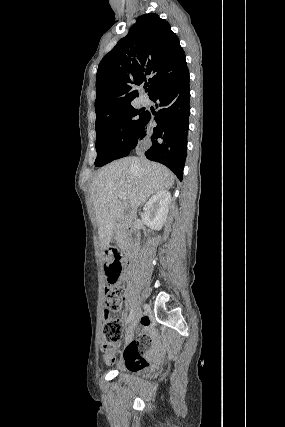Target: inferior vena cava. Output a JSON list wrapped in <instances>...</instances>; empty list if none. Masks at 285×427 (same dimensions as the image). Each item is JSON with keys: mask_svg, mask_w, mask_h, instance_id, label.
Instances as JSON below:
<instances>
[{"mask_svg": "<svg viewBox=\"0 0 285 427\" xmlns=\"http://www.w3.org/2000/svg\"><path fill=\"white\" fill-rule=\"evenodd\" d=\"M135 218H136V211L132 210L131 213H130V220H133Z\"/></svg>", "mask_w": 285, "mask_h": 427, "instance_id": "inferior-vena-cava-1", "label": "inferior vena cava"}]
</instances>
